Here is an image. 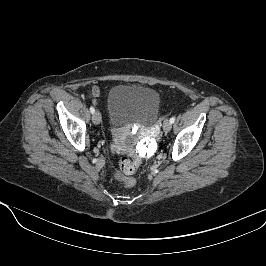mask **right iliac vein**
Wrapping results in <instances>:
<instances>
[{
    "label": "right iliac vein",
    "mask_w": 266,
    "mask_h": 266,
    "mask_svg": "<svg viewBox=\"0 0 266 266\" xmlns=\"http://www.w3.org/2000/svg\"><path fill=\"white\" fill-rule=\"evenodd\" d=\"M92 121L95 125H98L101 122V114L99 111L93 113Z\"/></svg>",
    "instance_id": "1"
}]
</instances>
